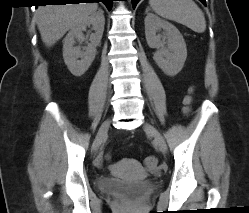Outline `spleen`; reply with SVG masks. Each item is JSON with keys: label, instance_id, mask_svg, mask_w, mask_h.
I'll return each mask as SVG.
<instances>
[{"label": "spleen", "instance_id": "1", "mask_svg": "<svg viewBox=\"0 0 249 213\" xmlns=\"http://www.w3.org/2000/svg\"><path fill=\"white\" fill-rule=\"evenodd\" d=\"M149 4L163 18L179 22L197 33L206 30L204 14L193 0H149Z\"/></svg>", "mask_w": 249, "mask_h": 213}]
</instances>
